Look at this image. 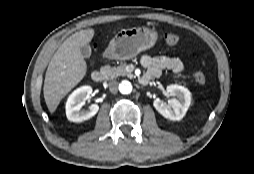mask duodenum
Wrapping results in <instances>:
<instances>
[{
    "mask_svg": "<svg viewBox=\"0 0 254 174\" xmlns=\"http://www.w3.org/2000/svg\"><path fill=\"white\" fill-rule=\"evenodd\" d=\"M91 78L94 82L100 83L104 80L105 74H104V72H102L100 70H95L92 72ZM151 79L152 78L150 76H145V77L141 76L139 81L141 84L147 85L151 81Z\"/></svg>",
    "mask_w": 254,
    "mask_h": 174,
    "instance_id": "duodenum-1",
    "label": "duodenum"
}]
</instances>
